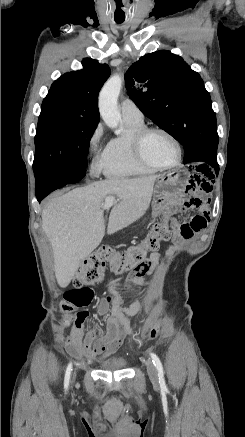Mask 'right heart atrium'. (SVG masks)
Wrapping results in <instances>:
<instances>
[{"instance_id":"obj_1","label":"right heart atrium","mask_w":245,"mask_h":437,"mask_svg":"<svg viewBox=\"0 0 245 437\" xmlns=\"http://www.w3.org/2000/svg\"><path fill=\"white\" fill-rule=\"evenodd\" d=\"M104 127L98 124L92 131L88 140V153L93 161V169L98 172L101 170L105 149L102 147Z\"/></svg>"}]
</instances>
